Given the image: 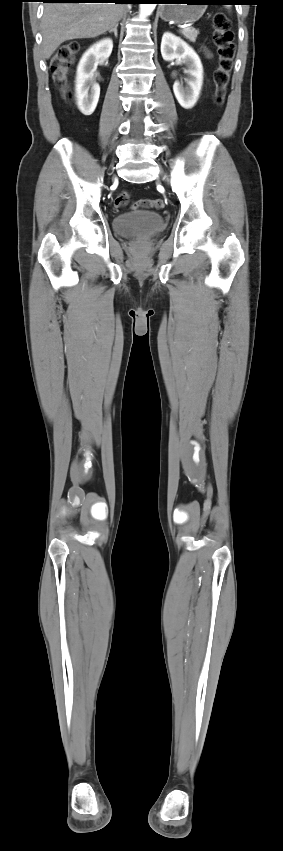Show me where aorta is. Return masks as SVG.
I'll use <instances>...</instances> for the list:
<instances>
[{
	"label": "aorta",
	"instance_id": "1",
	"mask_svg": "<svg viewBox=\"0 0 283 851\" xmlns=\"http://www.w3.org/2000/svg\"><path fill=\"white\" fill-rule=\"evenodd\" d=\"M154 8H155V4H151V3H142V4H140V13H141V16H148V15H150V14L153 12Z\"/></svg>",
	"mask_w": 283,
	"mask_h": 851
}]
</instances>
